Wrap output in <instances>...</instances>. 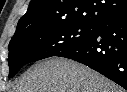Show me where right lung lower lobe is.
Segmentation results:
<instances>
[{
    "mask_svg": "<svg viewBox=\"0 0 127 92\" xmlns=\"http://www.w3.org/2000/svg\"><path fill=\"white\" fill-rule=\"evenodd\" d=\"M56 56L85 64L127 90V12L96 24L88 39Z\"/></svg>",
    "mask_w": 127,
    "mask_h": 92,
    "instance_id": "obj_1",
    "label": "right lung lower lobe"
}]
</instances>
